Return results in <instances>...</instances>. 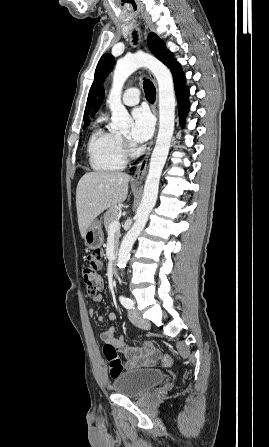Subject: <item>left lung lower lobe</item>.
Returning <instances> with one entry per match:
<instances>
[{
	"label": "left lung lower lobe",
	"instance_id": "1",
	"mask_svg": "<svg viewBox=\"0 0 269 447\" xmlns=\"http://www.w3.org/2000/svg\"><path fill=\"white\" fill-rule=\"evenodd\" d=\"M170 70L173 74L174 79L175 91L178 100V111L180 116V122L181 124H183L187 112L189 110V102H188L189 91L188 88L184 86L185 76L181 70L180 64L175 61L170 66Z\"/></svg>",
	"mask_w": 269,
	"mask_h": 447
}]
</instances>
